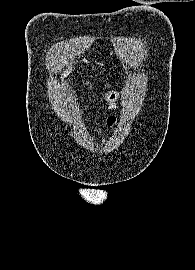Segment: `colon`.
<instances>
[{
	"instance_id": "obj_1",
	"label": "colon",
	"mask_w": 195,
	"mask_h": 270,
	"mask_svg": "<svg viewBox=\"0 0 195 270\" xmlns=\"http://www.w3.org/2000/svg\"><path fill=\"white\" fill-rule=\"evenodd\" d=\"M106 123L108 126H113L116 123V118L113 116H110L107 118Z\"/></svg>"
}]
</instances>
